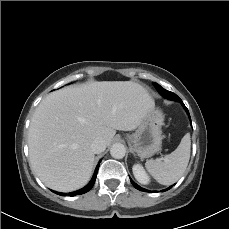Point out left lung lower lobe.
Returning a JSON list of instances; mask_svg holds the SVG:
<instances>
[{
    "label": "left lung lower lobe",
    "mask_w": 229,
    "mask_h": 229,
    "mask_svg": "<svg viewBox=\"0 0 229 229\" xmlns=\"http://www.w3.org/2000/svg\"><path fill=\"white\" fill-rule=\"evenodd\" d=\"M176 99H177L176 101H179V102L182 103V100H181L179 97H177ZM182 104H183V103H182ZM183 107L185 108L186 112L189 114V111H188V109L186 108V106H185L184 104H183ZM189 117H190V115H189ZM130 181H131V183L133 184V186H134L136 189L141 190V191L149 192L148 190H145V189L141 188L139 185H137L131 178H130ZM170 188H172V186H170V187L167 188L166 190H169ZM163 191H165V190H163ZM163 191H162V192H163Z\"/></svg>",
    "instance_id": "0a47b994"
}]
</instances>
